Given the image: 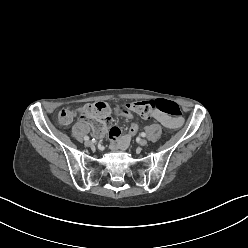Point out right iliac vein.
<instances>
[{"instance_id": "obj_1", "label": "right iliac vein", "mask_w": 248, "mask_h": 248, "mask_svg": "<svg viewBox=\"0 0 248 248\" xmlns=\"http://www.w3.org/2000/svg\"><path fill=\"white\" fill-rule=\"evenodd\" d=\"M85 145L89 147V146L92 145V142H91L90 140H86V141H85Z\"/></svg>"}]
</instances>
